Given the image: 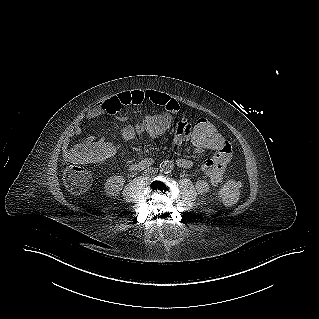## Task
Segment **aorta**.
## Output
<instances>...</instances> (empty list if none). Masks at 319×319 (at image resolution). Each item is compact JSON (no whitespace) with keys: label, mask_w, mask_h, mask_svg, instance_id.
<instances>
[{"label":"aorta","mask_w":319,"mask_h":319,"mask_svg":"<svg viewBox=\"0 0 319 319\" xmlns=\"http://www.w3.org/2000/svg\"><path fill=\"white\" fill-rule=\"evenodd\" d=\"M161 168H162V170H164L165 172H169V171L172 170L173 165H172V163L169 162V161H163V162L161 163Z\"/></svg>","instance_id":"762f6f07"}]
</instances>
